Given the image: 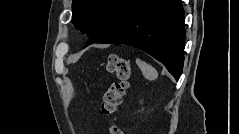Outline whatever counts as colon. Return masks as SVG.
Returning a JSON list of instances; mask_svg holds the SVG:
<instances>
[{"label": "colon", "instance_id": "5ec220e1", "mask_svg": "<svg viewBox=\"0 0 239 134\" xmlns=\"http://www.w3.org/2000/svg\"><path fill=\"white\" fill-rule=\"evenodd\" d=\"M107 70L115 74L117 80L111 83L105 92L101 102V111L104 115H112L122 103L128 89L131 66L128 60L118 55H111L108 58ZM110 133L122 134L121 130L116 126L110 128Z\"/></svg>", "mask_w": 239, "mask_h": 134}]
</instances>
